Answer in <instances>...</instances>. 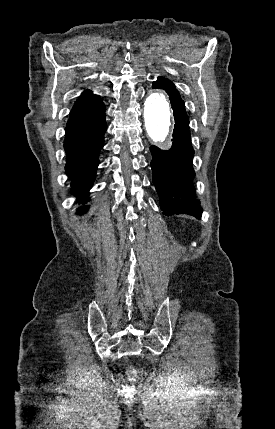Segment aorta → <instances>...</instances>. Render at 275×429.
I'll list each match as a JSON object with an SVG mask.
<instances>
[{"label": "aorta", "instance_id": "762f6f07", "mask_svg": "<svg viewBox=\"0 0 275 429\" xmlns=\"http://www.w3.org/2000/svg\"><path fill=\"white\" fill-rule=\"evenodd\" d=\"M145 127L154 142H162L172 126L171 106L163 90L150 91L144 102Z\"/></svg>", "mask_w": 275, "mask_h": 429}]
</instances>
